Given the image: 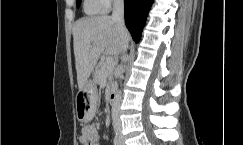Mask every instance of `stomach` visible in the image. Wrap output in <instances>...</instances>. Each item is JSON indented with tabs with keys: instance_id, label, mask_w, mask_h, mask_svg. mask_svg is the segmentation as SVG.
Here are the masks:
<instances>
[{
	"instance_id": "obj_1",
	"label": "stomach",
	"mask_w": 243,
	"mask_h": 145,
	"mask_svg": "<svg viewBox=\"0 0 243 145\" xmlns=\"http://www.w3.org/2000/svg\"><path fill=\"white\" fill-rule=\"evenodd\" d=\"M94 86L85 85L76 96V115L82 122H87L95 115L94 107L97 103V94Z\"/></svg>"
}]
</instances>
